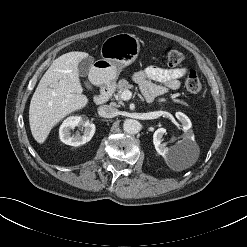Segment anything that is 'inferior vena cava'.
Segmentation results:
<instances>
[{
    "label": "inferior vena cava",
    "instance_id": "obj_1",
    "mask_svg": "<svg viewBox=\"0 0 247 247\" xmlns=\"http://www.w3.org/2000/svg\"><path fill=\"white\" fill-rule=\"evenodd\" d=\"M98 113L102 117L113 118L117 116L118 110L110 105H103L98 108Z\"/></svg>",
    "mask_w": 247,
    "mask_h": 247
}]
</instances>
